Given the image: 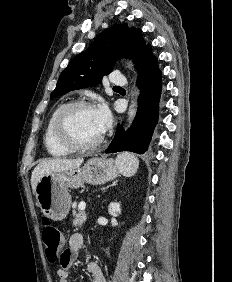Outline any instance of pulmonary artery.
<instances>
[{"instance_id": "pulmonary-artery-1", "label": "pulmonary artery", "mask_w": 232, "mask_h": 282, "mask_svg": "<svg viewBox=\"0 0 232 282\" xmlns=\"http://www.w3.org/2000/svg\"><path fill=\"white\" fill-rule=\"evenodd\" d=\"M111 83L113 85H125L126 84V78L120 74V73H114L111 77Z\"/></svg>"}]
</instances>
